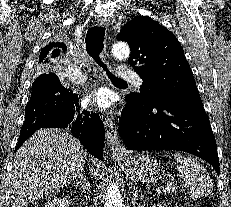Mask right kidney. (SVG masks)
Listing matches in <instances>:
<instances>
[{
  "instance_id": "ca27d5eb",
  "label": "right kidney",
  "mask_w": 231,
  "mask_h": 207,
  "mask_svg": "<svg viewBox=\"0 0 231 207\" xmlns=\"http://www.w3.org/2000/svg\"><path fill=\"white\" fill-rule=\"evenodd\" d=\"M71 202L67 198L55 197L48 201L45 207H70Z\"/></svg>"
}]
</instances>
